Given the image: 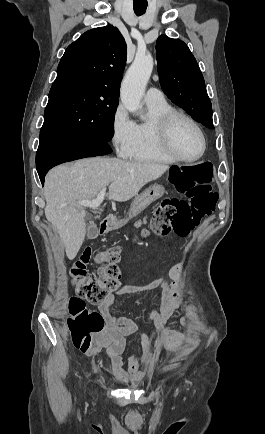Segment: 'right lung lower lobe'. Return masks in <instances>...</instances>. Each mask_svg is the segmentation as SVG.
I'll return each mask as SVG.
<instances>
[{
	"instance_id": "right-lung-lower-lobe-1",
	"label": "right lung lower lobe",
	"mask_w": 265,
	"mask_h": 434,
	"mask_svg": "<svg viewBox=\"0 0 265 434\" xmlns=\"http://www.w3.org/2000/svg\"><path fill=\"white\" fill-rule=\"evenodd\" d=\"M107 142L76 140L62 135L47 133L40 137L36 154V168L42 185L46 173L54 166L86 157L111 153Z\"/></svg>"
}]
</instances>
